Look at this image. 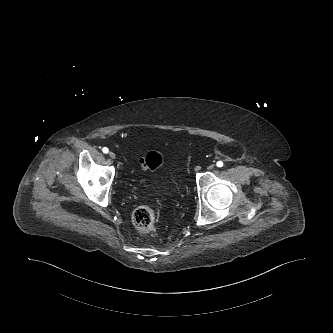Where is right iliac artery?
Returning a JSON list of instances; mask_svg holds the SVG:
<instances>
[{
    "label": "right iliac artery",
    "mask_w": 333,
    "mask_h": 333,
    "mask_svg": "<svg viewBox=\"0 0 333 333\" xmlns=\"http://www.w3.org/2000/svg\"><path fill=\"white\" fill-rule=\"evenodd\" d=\"M102 151H103V153H105V154H107V153L109 152V150H108L107 147H104V148L102 149Z\"/></svg>",
    "instance_id": "1"
}]
</instances>
